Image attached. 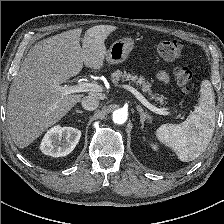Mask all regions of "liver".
<instances>
[{
    "label": "liver",
    "instance_id": "liver-1",
    "mask_svg": "<svg viewBox=\"0 0 224 224\" xmlns=\"http://www.w3.org/2000/svg\"><path fill=\"white\" fill-rule=\"evenodd\" d=\"M112 25L72 29L37 42L27 53L10 86L6 119L11 138L23 149L59 122L84 94L65 95L54 85L78 75L83 65L95 71L104 66L105 40Z\"/></svg>",
    "mask_w": 224,
    "mask_h": 224
}]
</instances>
